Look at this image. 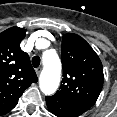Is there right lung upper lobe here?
Segmentation results:
<instances>
[{
    "label": "right lung upper lobe",
    "instance_id": "cb5924a9",
    "mask_svg": "<svg viewBox=\"0 0 117 117\" xmlns=\"http://www.w3.org/2000/svg\"><path fill=\"white\" fill-rule=\"evenodd\" d=\"M25 33L19 27L0 33V116L10 112L24 90L38 80L29 55L20 48Z\"/></svg>",
    "mask_w": 117,
    "mask_h": 117
}]
</instances>
